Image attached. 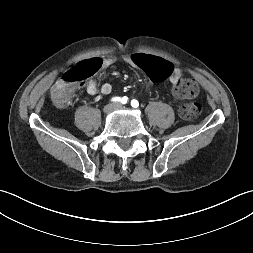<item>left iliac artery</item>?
I'll return each mask as SVG.
<instances>
[{
  "instance_id": "obj_1",
  "label": "left iliac artery",
  "mask_w": 253,
  "mask_h": 253,
  "mask_svg": "<svg viewBox=\"0 0 253 253\" xmlns=\"http://www.w3.org/2000/svg\"><path fill=\"white\" fill-rule=\"evenodd\" d=\"M131 106L134 107V108H137V107L139 106L138 101L135 100V99H133V100L131 101Z\"/></svg>"
}]
</instances>
